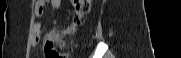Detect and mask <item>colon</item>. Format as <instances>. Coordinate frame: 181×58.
Returning <instances> with one entry per match:
<instances>
[{"instance_id":"1","label":"colon","mask_w":181,"mask_h":58,"mask_svg":"<svg viewBox=\"0 0 181 58\" xmlns=\"http://www.w3.org/2000/svg\"><path fill=\"white\" fill-rule=\"evenodd\" d=\"M74 15L72 18V23L69 28V32L74 31L76 27L80 26L84 20V16L90 10V1L89 0H73ZM57 39L48 37L44 43V50L46 58H67L65 53H59L55 49V43Z\"/></svg>"}]
</instances>
